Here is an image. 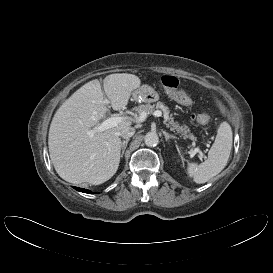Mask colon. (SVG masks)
Masks as SVG:
<instances>
[{"mask_svg":"<svg viewBox=\"0 0 273 273\" xmlns=\"http://www.w3.org/2000/svg\"><path fill=\"white\" fill-rule=\"evenodd\" d=\"M163 85L170 90L172 97L179 103L190 105L192 103L191 97L179 88V81L175 76L165 75L162 77ZM210 116L204 113L196 115V120L200 124H207L210 122Z\"/></svg>","mask_w":273,"mask_h":273,"instance_id":"1","label":"colon"}]
</instances>
